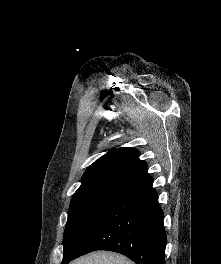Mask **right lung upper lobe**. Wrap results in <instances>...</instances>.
Returning <instances> with one entry per match:
<instances>
[{
	"label": "right lung upper lobe",
	"mask_w": 221,
	"mask_h": 264,
	"mask_svg": "<svg viewBox=\"0 0 221 264\" xmlns=\"http://www.w3.org/2000/svg\"><path fill=\"white\" fill-rule=\"evenodd\" d=\"M148 176L147 166L136 149H112L85 171L75 193L99 187L127 188Z\"/></svg>",
	"instance_id": "obj_1"
}]
</instances>
